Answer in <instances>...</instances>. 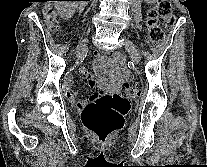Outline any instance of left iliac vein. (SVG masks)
Returning a JSON list of instances; mask_svg holds the SVG:
<instances>
[{
    "label": "left iliac vein",
    "instance_id": "1",
    "mask_svg": "<svg viewBox=\"0 0 207 167\" xmlns=\"http://www.w3.org/2000/svg\"><path fill=\"white\" fill-rule=\"evenodd\" d=\"M125 48L129 52L131 56V60L135 64H139V54H138L136 46L130 40L125 39Z\"/></svg>",
    "mask_w": 207,
    "mask_h": 167
}]
</instances>
